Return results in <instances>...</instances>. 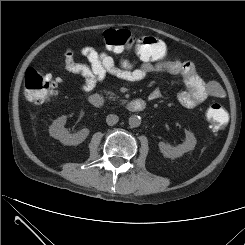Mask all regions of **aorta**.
I'll return each mask as SVG.
<instances>
[{
	"mask_svg": "<svg viewBox=\"0 0 245 245\" xmlns=\"http://www.w3.org/2000/svg\"><path fill=\"white\" fill-rule=\"evenodd\" d=\"M129 125L131 126V127H138V126H140V124H141V118H140V116H138V115H132L130 118H129Z\"/></svg>",
	"mask_w": 245,
	"mask_h": 245,
	"instance_id": "1",
	"label": "aorta"
}]
</instances>
